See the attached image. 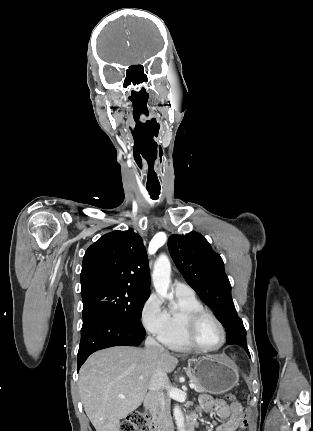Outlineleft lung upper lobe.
<instances>
[{"mask_svg": "<svg viewBox=\"0 0 313 431\" xmlns=\"http://www.w3.org/2000/svg\"><path fill=\"white\" fill-rule=\"evenodd\" d=\"M168 249L187 283L226 328L227 343L238 344L246 350V330L235 310L231 285L220 255L199 233L172 234Z\"/></svg>", "mask_w": 313, "mask_h": 431, "instance_id": "left-lung-upper-lobe-1", "label": "left lung upper lobe"}]
</instances>
